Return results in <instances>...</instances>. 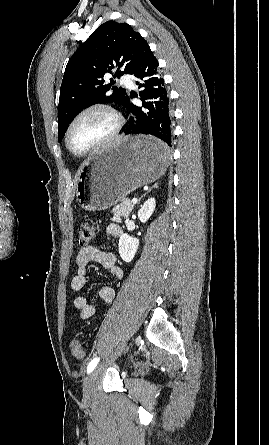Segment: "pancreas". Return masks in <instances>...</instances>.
Instances as JSON below:
<instances>
[{"label": "pancreas", "mask_w": 269, "mask_h": 445, "mask_svg": "<svg viewBox=\"0 0 269 445\" xmlns=\"http://www.w3.org/2000/svg\"><path fill=\"white\" fill-rule=\"evenodd\" d=\"M134 205L129 199H122L119 204H117L113 209L112 213L116 218H127L131 211L133 210Z\"/></svg>", "instance_id": "cf45deb5"}]
</instances>
